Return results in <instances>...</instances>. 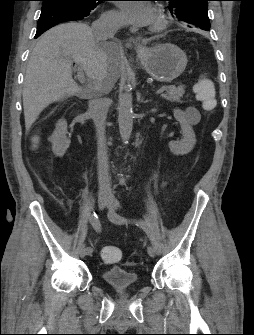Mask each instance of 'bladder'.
I'll return each instance as SVG.
<instances>
[{"label":"bladder","mask_w":254,"mask_h":335,"mask_svg":"<svg viewBox=\"0 0 254 335\" xmlns=\"http://www.w3.org/2000/svg\"><path fill=\"white\" fill-rule=\"evenodd\" d=\"M103 280L110 288L118 291L134 288L138 281L135 272L121 267H113L105 270Z\"/></svg>","instance_id":"31cf9c89"}]
</instances>
